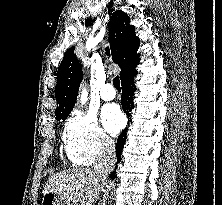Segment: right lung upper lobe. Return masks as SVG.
<instances>
[{
    "label": "right lung upper lobe",
    "instance_id": "1",
    "mask_svg": "<svg viewBox=\"0 0 222 205\" xmlns=\"http://www.w3.org/2000/svg\"><path fill=\"white\" fill-rule=\"evenodd\" d=\"M130 18L121 10H116L110 19L109 43L114 63L121 68L120 79L136 72L139 63L140 40L136 37ZM83 78L82 67L74 54V47L69 48L58 68L55 98L59 107L55 110L57 119L66 118L76 102L80 82Z\"/></svg>",
    "mask_w": 222,
    "mask_h": 205
}]
</instances>
